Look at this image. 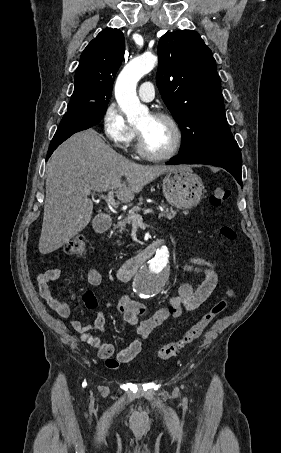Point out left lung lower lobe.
<instances>
[{
	"label": "left lung lower lobe",
	"mask_w": 281,
	"mask_h": 453,
	"mask_svg": "<svg viewBox=\"0 0 281 453\" xmlns=\"http://www.w3.org/2000/svg\"><path fill=\"white\" fill-rule=\"evenodd\" d=\"M166 164H206L219 166L231 173L242 185V158L236 141L196 152L179 154Z\"/></svg>",
	"instance_id": "obj_1"
}]
</instances>
